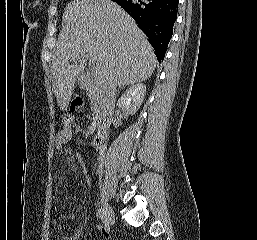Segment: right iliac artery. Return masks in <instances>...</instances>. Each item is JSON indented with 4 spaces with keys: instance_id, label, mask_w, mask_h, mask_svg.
Instances as JSON below:
<instances>
[{
    "instance_id": "obj_1",
    "label": "right iliac artery",
    "mask_w": 257,
    "mask_h": 240,
    "mask_svg": "<svg viewBox=\"0 0 257 240\" xmlns=\"http://www.w3.org/2000/svg\"><path fill=\"white\" fill-rule=\"evenodd\" d=\"M97 218L102 219L104 217L102 208L98 209L97 213H96Z\"/></svg>"
}]
</instances>
